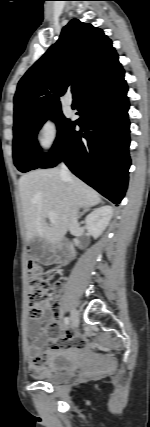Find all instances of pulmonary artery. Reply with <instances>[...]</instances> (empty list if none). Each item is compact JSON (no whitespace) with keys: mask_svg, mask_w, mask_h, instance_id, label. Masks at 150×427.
Instances as JSON below:
<instances>
[{"mask_svg":"<svg viewBox=\"0 0 150 427\" xmlns=\"http://www.w3.org/2000/svg\"><path fill=\"white\" fill-rule=\"evenodd\" d=\"M64 102L66 105L70 106L73 103V98L70 94H66L64 97Z\"/></svg>","mask_w":150,"mask_h":427,"instance_id":"pulmonary-artery-1","label":"pulmonary artery"}]
</instances>
